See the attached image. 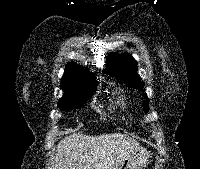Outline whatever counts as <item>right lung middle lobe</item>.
<instances>
[{
    "label": "right lung middle lobe",
    "instance_id": "dd1d6c3e",
    "mask_svg": "<svg viewBox=\"0 0 200 169\" xmlns=\"http://www.w3.org/2000/svg\"><path fill=\"white\" fill-rule=\"evenodd\" d=\"M92 93L93 92L86 93L84 95H81L72 99L59 100L58 107L63 111L76 108L82 103H84Z\"/></svg>",
    "mask_w": 200,
    "mask_h": 169
}]
</instances>
